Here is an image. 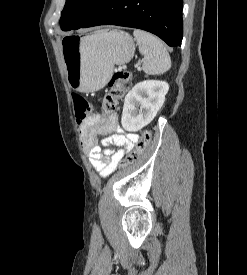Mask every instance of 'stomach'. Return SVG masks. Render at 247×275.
Returning <instances> with one entry per match:
<instances>
[{
	"label": "stomach",
	"mask_w": 247,
	"mask_h": 275,
	"mask_svg": "<svg viewBox=\"0 0 247 275\" xmlns=\"http://www.w3.org/2000/svg\"><path fill=\"white\" fill-rule=\"evenodd\" d=\"M61 51L69 87L89 93L108 83L115 65L132 59L135 43L126 32L106 29L84 37L66 36Z\"/></svg>",
	"instance_id": "stomach-1"
}]
</instances>
